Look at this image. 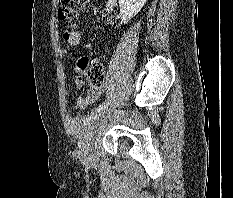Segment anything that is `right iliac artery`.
<instances>
[{
    "mask_svg": "<svg viewBox=\"0 0 233 198\" xmlns=\"http://www.w3.org/2000/svg\"><path fill=\"white\" fill-rule=\"evenodd\" d=\"M108 105H109V102H103V103H101L98 106L97 111L100 112L101 110L105 109Z\"/></svg>",
    "mask_w": 233,
    "mask_h": 198,
    "instance_id": "obj_1",
    "label": "right iliac artery"
}]
</instances>
